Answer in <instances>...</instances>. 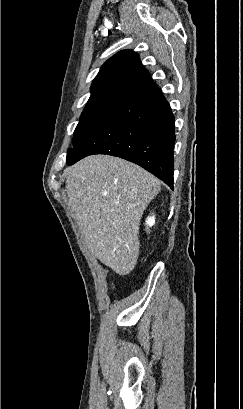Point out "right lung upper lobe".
<instances>
[{
    "label": "right lung upper lobe",
    "mask_w": 243,
    "mask_h": 409,
    "mask_svg": "<svg viewBox=\"0 0 243 409\" xmlns=\"http://www.w3.org/2000/svg\"><path fill=\"white\" fill-rule=\"evenodd\" d=\"M153 83L142 66L139 55L123 50L108 59L91 86L88 102L99 100H126Z\"/></svg>",
    "instance_id": "right-lung-upper-lobe-1"
}]
</instances>
